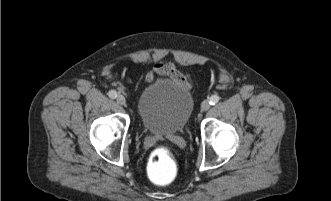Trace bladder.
<instances>
[{
  "mask_svg": "<svg viewBox=\"0 0 331 201\" xmlns=\"http://www.w3.org/2000/svg\"><path fill=\"white\" fill-rule=\"evenodd\" d=\"M138 117L151 134L171 136L181 132L194 110L189 87L161 78L147 85L138 100Z\"/></svg>",
  "mask_w": 331,
  "mask_h": 201,
  "instance_id": "bladder-1",
  "label": "bladder"
}]
</instances>
